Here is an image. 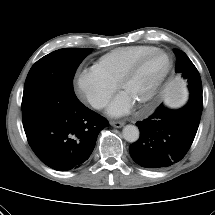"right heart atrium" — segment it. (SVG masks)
<instances>
[{
	"instance_id": "d8ad5b80",
	"label": "right heart atrium",
	"mask_w": 215,
	"mask_h": 215,
	"mask_svg": "<svg viewBox=\"0 0 215 215\" xmlns=\"http://www.w3.org/2000/svg\"><path fill=\"white\" fill-rule=\"evenodd\" d=\"M74 87L77 95L95 109L104 108L116 90V85L94 66L85 68L75 75Z\"/></svg>"
}]
</instances>
